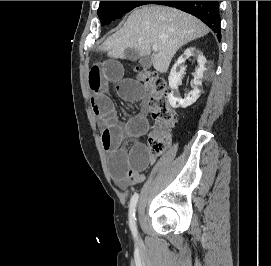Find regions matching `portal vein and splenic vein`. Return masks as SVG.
I'll return each mask as SVG.
<instances>
[{
	"label": "portal vein and splenic vein",
	"mask_w": 271,
	"mask_h": 266,
	"mask_svg": "<svg viewBox=\"0 0 271 266\" xmlns=\"http://www.w3.org/2000/svg\"><path fill=\"white\" fill-rule=\"evenodd\" d=\"M152 49H153L154 51H158V47L155 46V45L152 47Z\"/></svg>",
	"instance_id": "portal-vein-and-splenic-vein-1"
}]
</instances>
